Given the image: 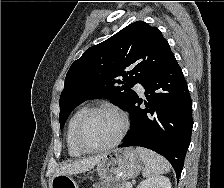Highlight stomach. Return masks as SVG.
Returning a JSON list of instances; mask_svg holds the SVG:
<instances>
[{
  "mask_svg": "<svg viewBox=\"0 0 224 188\" xmlns=\"http://www.w3.org/2000/svg\"><path fill=\"white\" fill-rule=\"evenodd\" d=\"M142 159L132 148L114 149L96 164L99 177L106 182H125L139 175ZM50 188H78L70 175H58L52 178Z\"/></svg>",
  "mask_w": 224,
  "mask_h": 188,
  "instance_id": "0dacf381",
  "label": "stomach"
}]
</instances>
